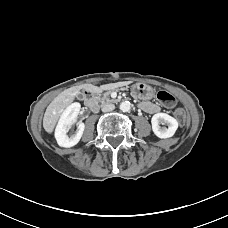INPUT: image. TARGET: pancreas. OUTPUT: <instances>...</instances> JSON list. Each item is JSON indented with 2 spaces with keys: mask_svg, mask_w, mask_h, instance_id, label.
Segmentation results:
<instances>
[{
  "mask_svg": "<svg viewBox=\"0 0 228 228\" xmlns=\"http://www.w3.org/2000/svg\"><path fill=\"white\" fill-rule=\"evenodd\" d=\"M127 91L128 89L127 88H118V89H113V90H110L109 92H105L102 96H99L98 97V101L99 102H101V104L102 105H104V104H106V103H112V102H114V100L113 99H111L110 97H109V95H110V93H113V92H117V91ZM131 96H133V95H131ZM134 97V96H133ZM135 98V97H134ZM136 100H137V98H135ZM139 102V101H138ZM140 103V102H139Z\"/></svg>",
  "mask_w": 228,
  "mask_h": 228,
  "instance_id": "pancreas-1",
  "label": "pancreas"
}]
</instances>
